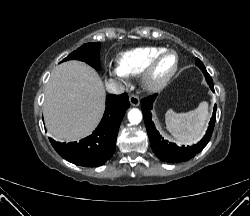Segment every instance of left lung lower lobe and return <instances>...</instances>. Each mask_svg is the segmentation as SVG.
<instances>
[{
	"label": "left lung lower lobe",
	"instance_id": "0a47b994",
	"mask_svg": "<svg viewBox=\"0 0 250 216\" xmlns=\"http://www.w3.org/2000/svg\"><path fill=\"white\" fill-rule=\"evenodd\" d=\"M207 82L209 83V86L211 90L214 92V86L213 81L206 69L202 70ZM157 95H152L149 97H146L141 100L142 106V112L144 116V121L147 129V133L150 139V144L153 152L155 155L162 161L168 162V163H179L183 161H187L194 157L198 152H200L209 142L213 128L215 125V115H216V105L214 106V112L213 116L211 118V121L209 123L208 130L206 131V135L203 137V139L198 142L196 145L193 146H182L179 147L174 143L168 142L167 140H164L163 137L159 134V132L156 130L154 123L152 122V105Z\"/></svg>",
	"mask_w": 250,
	"mask_h": 216
}]
</instances>
